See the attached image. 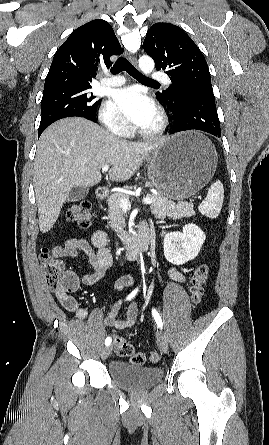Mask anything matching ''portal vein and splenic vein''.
Segmentation results:
<instances>
[{
	"label": "portal vein and splenic vein",
	"instance_id": "1",
	"mask_svg": "<svg viewBox=\"0 0 269 445\" xmlns=\"http://www.w3.org/2000/svg\"><path fill=\"white\" fill-rule=\"evenodd\" d=\"M109 170V165H105L102 167V172H107ZM154 202L153 198L150 197H146L143 199V203L144 204H152ZM120 205L122 207V209H130L131 208V203L129 201L128 198L122 197L120 199Z\"/></svg>",
	"mask_w": 269,
	"mask_h": 445
}]
</instances>
